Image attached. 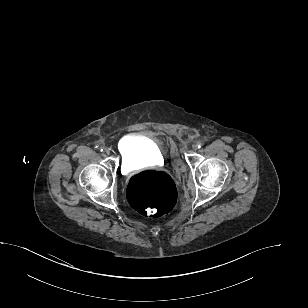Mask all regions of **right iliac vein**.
Returning <instances> with one entry per match:
<instances>
[{"mask_svg":"<svg viewBox=\"0 0 308 308\" xmlns=\"http://www.w3.org/2000/svg\"><path fill=\"white\" fill-rule=\"evenodd\" d=\"M104 152H105L106 154H109V153H110V150H109L108 148H104Z\"/></svg>","mask_w":308,"mask_h":308,"instance_id":"1","label":"right iliac vein"}]
</instances>
